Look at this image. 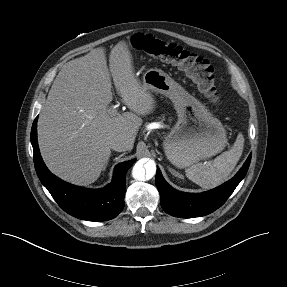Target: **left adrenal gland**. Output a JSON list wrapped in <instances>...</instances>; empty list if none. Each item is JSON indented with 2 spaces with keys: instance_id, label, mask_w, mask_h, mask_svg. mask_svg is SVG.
Returning <instances> with one entry per match:
<instances>
[{
  "instance_id": "obj_1",
  "label": "left adrenal gland",
  "mask_w": 287,
  "mask_h": 287,
  "mask_svg": "<svg viewBox=\"0 0 287 287\" xmlns=\"http://www.w3.org/2000/svg\"><path fill=\"white\" fill-rule=\"evenodd\" d=\"M169 171H170L171 174H173L174 176L179 177V178H183V176H182L180 173L176 172L174 169L169 168Z\"/></svg>"
}]
</instances>
